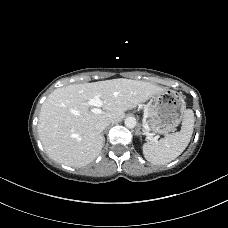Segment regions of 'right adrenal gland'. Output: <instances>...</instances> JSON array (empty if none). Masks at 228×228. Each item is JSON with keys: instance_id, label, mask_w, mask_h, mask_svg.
<instances>
[{"instance_id": "obj_1", "label": "right adrenal gland", "mask_w": 228, "mask_h": 228, "mask_svg": "<svg viewBox=\"0 0 228 228\" xmlns=\"http://www.w3.org/2000/svg\"><path fill=\"white\" fill-rule=\"evenodd\" d=\"M103 138H104V135L102 134ZM104 142H105V138H104Z\"/></svg>"}]
</instances>
